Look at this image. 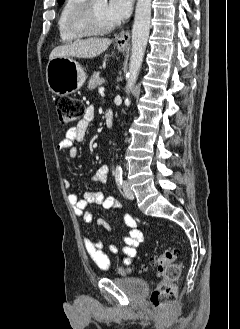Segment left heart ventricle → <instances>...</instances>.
Wrapping results in <instances>:
<instances>
[{
	"instance_id": "obj_1",
	"label": "left heart ventricle",
	"mask_w": 240,
	"mask_h": 329,
	"mask_svg": "<svg viewBox=\"0 0 240 329\" xmlns=\"http://www.w3.org/2000/svg\"><path fill=\"white\" fill-rule=\"evenodd\" d=\"M106 6V0H94V14L101 24H113L114 22L110 20L106 15Z\"/></svg>"
}]
</instances>
